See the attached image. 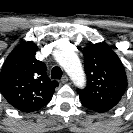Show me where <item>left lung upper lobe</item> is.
<instances>
[{
	"instance_id": "left-lung-upper-lobe-1",
	"label": "left lung upper lobe",
	"mask_w": 133,
	"mask_h": 133,
	"mask_svg": "<svg viewBox=\"0 0 133 133\" xmlns=\"http://www.w3.org/2000/svg\"><path fill=\"white\" fill-rule=\"evenodd\" d=\"M87 87L77 89L81 103L96 112L115 107L127 87L124 66L116 53L103 43L83 49Z\"/></svg>"
}]
</instances>
